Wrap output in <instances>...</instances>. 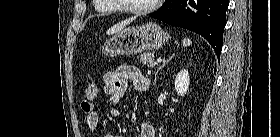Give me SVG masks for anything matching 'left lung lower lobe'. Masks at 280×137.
Masks as SVG:
<instances>
[{
	"instance_id": "0a47b994",
	"label": "left lung lower lobe",
	"mask_w": 280,
	"mask_h": 137,
	"mask_svg": "<svg viewBox=\"0 0 280 137\" xmlns=\"http://www.w3.org/2000/svg\"><path fill=\"white\" fill-rule=\"evenodd\" d=\"M228 4V0H168L150 16L200 34L220 58Z\"/></svg>"
}]
</instances>
